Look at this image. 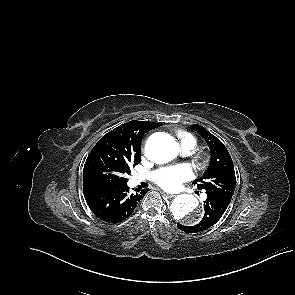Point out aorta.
Listing matches in <instances>:
<instances>
[{"label": "aorta", "instance_id": "aorta-1", "mask_svg": "<svg viewBox=\"0 0 295 295\" xmlns=\"http://www.w3.org/2000/svg\"><path fill=\"white\" fill-rule=\"evenodd\" d=\"M145 153L149 160L164 164L177 156L178 143L171 135L158 132L148 138ZM198 205L199 202L196 197L190 194H182L173 200L171 212L176 220L194 225L200 222L202 217V214L197 211Z\"/></svg>", "mask_w": 295, "mask_h": 295}]
</instances>
